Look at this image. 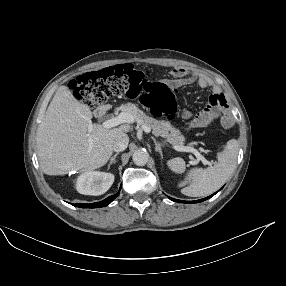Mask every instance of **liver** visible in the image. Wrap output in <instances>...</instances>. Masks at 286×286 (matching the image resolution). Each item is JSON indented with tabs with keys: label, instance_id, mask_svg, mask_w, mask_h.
I'll return each mask as SVG.
<instances>
[{
	"label": "liver",
	"instance_id": "liver-1",
	"mask_svg": "<svg viewBox=\"0 0 286 286\" xmlns=\"http://www.w3.org/2000/svg\"><path fill=\"white\" fill-rule=\"evenodd\" d=\"M92 112L67 86H60L37 132V154L47 175L71 170L89 172L104 166L117 136L130 131L129 124L114 129L92 123Z\"/></svg>",
	"mask_w": 286,
	"mask_h": 286
}]
</instances>
